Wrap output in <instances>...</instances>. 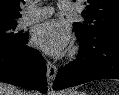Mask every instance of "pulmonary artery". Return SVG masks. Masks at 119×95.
<instances>
[{
	"label": "pulmonary artery",
	"instance_id": "obj_1",
	"mask_svg": "<svg viewBox=\"0 0 119 95\" xmlns=\"http://www.w3.org/2000/svg\"><path fill=\"white\" fill-rule=\"evenodd\" d=\"M69 1L60 0L58 2V8L61 11H69L71 9ZM53 13L51 7H29L23 18L21 19V25L26 26L34 22L43 20L49 17Z\"/></svg>",
	"mask_w": 119,
	"mask_h": 95
}]
</instances>
